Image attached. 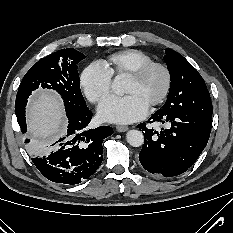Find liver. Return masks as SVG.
I'll list each match as a JSON object with an SVG mask.
<instances>
[{"label": "liver", "instance_id": "liver-1", "mask_svg": "<svg viewBox=\"0 0 233 233\" xmlns=\"http://www.w3.org/2000/svg\"><path fill=\"white\" fill-rule=\"evenodd\" d=\"M63 117L64 110L60 99L46 91L39 92L28 107L30 134L40 144L55 140L65 131Z\"/></svg>", "mask_w": 233, "mask_h": 233}]
</instances>
